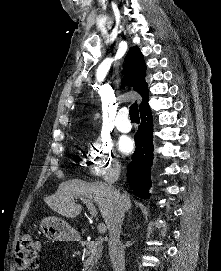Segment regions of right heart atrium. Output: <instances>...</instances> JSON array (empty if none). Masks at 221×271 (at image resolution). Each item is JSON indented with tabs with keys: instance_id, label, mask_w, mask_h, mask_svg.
Listing matches in <instances>:
<instances>
[{
	"instance_id": "d8ad5b80",
	"label": "right heart atrium",
	"mask_w": 221,
	"mask_h": 271,
	"mask_svg": "<svg viewBox=\"0 0 221 271\" xmlns=\"http://www.w3.org/2000/svg\"><path fill=\"white\" fill-rule=\"evenodd\" d=\"M97 151H89V156L100 157H86V162L90 165H86V170H105V167H110L109 159H111V152L108 151V146H97Z\"/></svg>"
}]
</instances>
